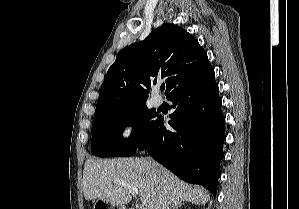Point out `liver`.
<instances>
[{"label":"liver","instance_id":"obj_1","mask_svg":"<svg viewBox=\"0 0 299 209\" xmlns=\"http://www.w3.org/2000/svg\"><path fill=\"white\" fill-rule=\"evenodd\" d=\"M159 167L161 171L157 172L147 160L133 157L88 159L83 171L84 197L88 201L98 198L114 206H124L132 196L125 186L113 182L119 180L138 189L142 205L147 209H155L161 194L166 195L172 206L182 201L205 204L210 200L205 188L187 184L166 168Z\"/></svg>","mask_w":299,"mask_h":209}]
</instances>
